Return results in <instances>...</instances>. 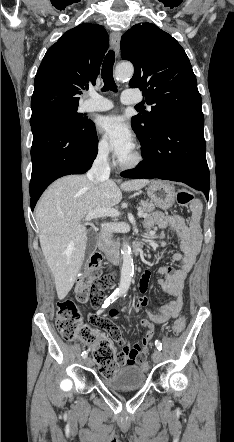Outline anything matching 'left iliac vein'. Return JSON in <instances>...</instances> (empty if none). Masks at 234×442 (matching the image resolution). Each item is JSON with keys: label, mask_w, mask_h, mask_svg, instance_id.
<instances>
[{"label": "left iliac vein", "mask_w": 234, "mask_h": 442, "mask_svg": "<svg viewBox=\"0 0 234 442\" xmlns=\"http://www.w3.org/2000/svg\"><path fill=\"white\" fill-rule=\"evenodd\" d=\"M162 358V354L159 350H155L153 355H152V359L155 363H158L161 361Z\"/></svg>", "instance_id": "left-iliac-vein-1"}]
</instances>
